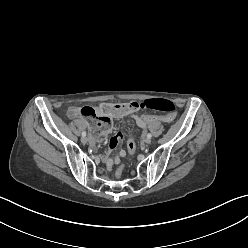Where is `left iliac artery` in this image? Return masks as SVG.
Returning <instances> with one entry per match:
<instances>
[{"label":"left iliac artery","mask_w":248,"mask_h":248,"mask_svg":"<svg viewBox=\"0 0 248 248\" xmlns=\"http://www.w3.org/2000/svg\"><path fill=\"white\" fill-rule=\"evenodd\" d=\"M151 137H152L151 133H148L147 138H151Z\"/></svg>","instance_id":"left-iliac-artery-1"}]
</instances>
